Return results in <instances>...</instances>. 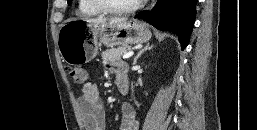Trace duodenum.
Masks as SVG:
<instances>
[{"instance_id": "duodenum-1", "label": "duodenum", "mask_w": 257, "mask_h": 130, "mask_svg": "<svg viewBox=\"0 0 257 130\" xmlns=\"http://www.w3.org/2000/svg\"><path fill=\"white\" fill-rule=\"evenodd\" d=\"M118 89L121 94L126 95L128 93V83L125 80H121L117 83Z\"/></svg>"}]
</instances>
